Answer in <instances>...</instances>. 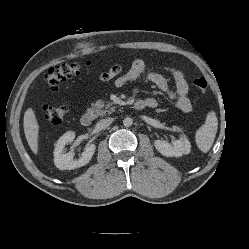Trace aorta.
<instances>
[{
  "mask_svg": "<svg viewBox=\"0 0 249 249\" xmlns=\"http://www.w3.org/2000/svg\"><path fill=\"white\" fill-rule=\"evenodd\" d=\"M133 124V120L131 119V118H125L124 120H123V125L125 126V127H130L131 125Z\"/></svg>",
  "mask_w": 249,
  "mask_h": 249,
  "instance_id": "762f6f07",
  "label": "aorta"
}]
</instances>
